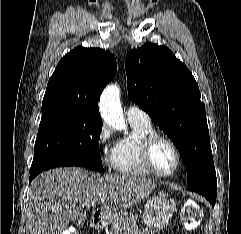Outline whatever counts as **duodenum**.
Instances as JSON below:
<instances>
[{"instance_id": "1", "label": "duodenum", "mask_w": 241, "mask_h": 234, "mask_svg": "<svg viewBox=\"0 0 241 234\" xmlns=\"http://www.w3.org/2000/svg\"><path fill=\"white\" fill-rule=\"evenodd\" d=\"M103 223V214L100 211H96L92 214L89 226L92 229H98Z\"/></svg>"}]
</instances>
